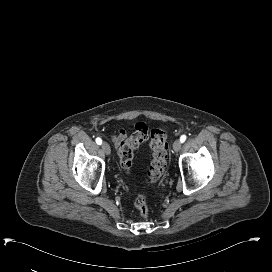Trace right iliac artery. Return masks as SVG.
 Here are the masks:
<instances>
[{"instance_id":"1","label":"right iliac artery","mask_w":272,"mask_h":272,"mask_svg":"<svg viewBox=\"0 0 272 272\" xmlns=\"http://www.w3.org/2000/svg\"><path fill=\"white\" fill-rule=\"evenodd\" d=\"M96 143L98 144V145H101L102 144V139L101 138H96Z\"/></svg>"}]
</instances>
